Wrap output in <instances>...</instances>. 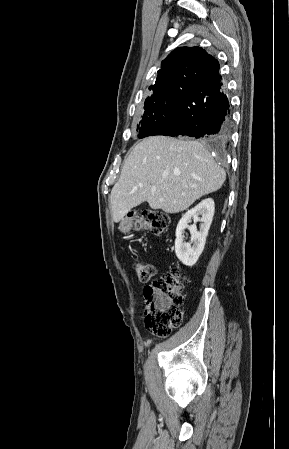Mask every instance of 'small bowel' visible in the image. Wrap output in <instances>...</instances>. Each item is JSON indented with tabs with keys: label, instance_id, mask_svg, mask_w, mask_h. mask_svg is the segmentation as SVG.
I'll list each match as a JSON object with an SVG mask.
<instances>
[{
	"label": "small bowel",
	"instance_id": "obj_1",
	"mask_svg": "<svg viewBox=\"0 0 289 449\" xmlns=\"http://www.w3.org/2000/svg\"><path fill=\"white\" fill-rule=\"evenodd\" d=\"M149 343H150V340L146 341V343H145V344H146V345H148Z\"/></svg>",
	"mask_w": 289,
	"mask_h": 449
}]
</instances>
